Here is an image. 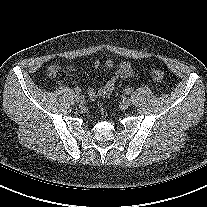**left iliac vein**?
<instances>
[{
	"label": "left iliac vein",
	"instance_id": "obj_1",
	"mask_svg": "<svg viewBox=\"0 0 207 207\" xmlns=\"http://www.w3.org/2000/svg\"><path fill=\"white\" fill-rule=\"evenodd\" d=\"M130 105H131V99H130V98H124V99L121 101V104H120L121 108H123V109H127V108H129Z\"/></svg>",
	"mask_w": 207,
	"mask_h": 207
}]
</instances>
